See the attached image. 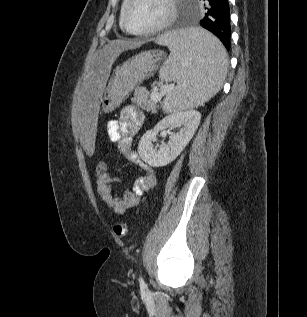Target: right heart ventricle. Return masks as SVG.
I'll use <instances>...</instances> for the list:
<instances>
[{
    "instance_id": "obj_1",
    "label": "right heart ventricle",
    "mask_w": 307,
    "mask_h": 317,
    "mask_svg": "<svg viewBox=\"0 0 307 317\" xmlns=\"http://www.w3.org/2000/svg\"><path fill=\"white\" fill-rule=\"evenodd\" d=\"M126 2H127V0L123 1L122 7H121V12H120V26L121 27H122V25H121V13H122L123 7L125 6Z\"/></svg>"
}]
</instances>
